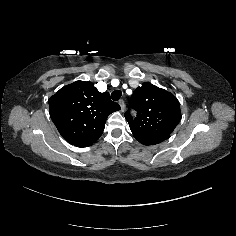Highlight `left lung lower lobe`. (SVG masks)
<instances>
[{"instance_id": "1", "label": "left lung lower lobe", "mask_w": 236, "mask_h": 236, "mask_svg": "<svg viewBox=\"0 0 236 236\" xmlns=\"http://www.w3.org/2000/svg\"><path fill=\"white\" fill-rule=\"evenodd\" d=\"M140 143H142V144H144V145H154V144H158V143H151V142H140Z\"/></svg>"}]
</instances>
